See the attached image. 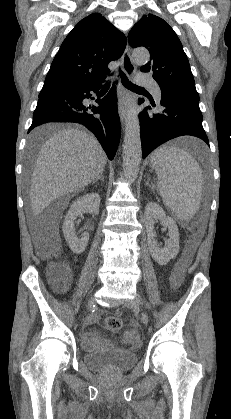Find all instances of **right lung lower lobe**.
Instances as JSON below:
<instances>
[{"label":"right lung lower lobe","instance_id":"obj_1","mask_svg":"<svg viewBox=\"0 0 231 419\" xmlns=\"http://www.w3.org/2000/svg\"><path fill=\"white\" fill-rule=\"evenodd\" d=\"M103 82L80 85L68 92L40 98L33 114L30 132L36 126L48 122H76L85 125L99 140L107 156L112 160L120 141V120L117 112L115 85L96 106H87L83 99L98 95Z\"/></svg>","mask_w":231,"mask_h":419}]
</instances>
